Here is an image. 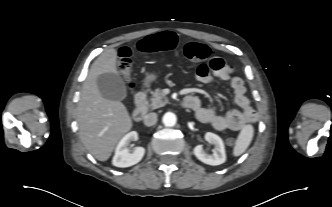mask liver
<instances>
[{"instance_id":"liver-1","label":"liver","mask_w":332,"mask_h":207,"mask_svg":"<svg viewBox=\"0 0 332 207\" xmlns=\"http://www.w3.org/2000/svg\"><path fill=\"white\" fill-rule=\"evenodd\" d=\"M117 50H105L91 65L77 107L80 139L99 161L111 156L116 144L132 128L131 117L120 101L105 99L99 92L97 77L118 74Z\"/></svg>"}]
</instances>
